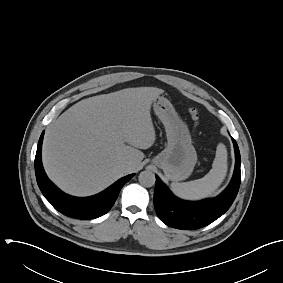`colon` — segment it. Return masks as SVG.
I'll use <instances>...</instances> for the list:
<instances>
[{"mask_svg":"<svg viewBox=\"0 0 283 283\" xmlns=\"http://www.w3.org/2000/svg\"><path fill=\"white\" fill-rule=\"evenodd\" d=\"M189 112H190V114H191L193 120L197 122V121L199 120V113H198L197 109H195V108H190V109H189Z\"/></svg>","mask_w":283,"mask_h":283,"instance_id":"colon-1","label":"colon"}]
</instances>
